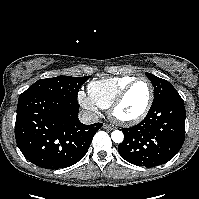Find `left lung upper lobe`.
<instances>
[{
  "instance_id": "5c2ea615",
  "label": "left lung upper lobe",
  "mask_w": 199,
  "mask_h": 199,
  "mask_svg": "<svg viewBox=\"0 0 199 199\" xmlns=\"http://www.w3.org/2000/svg\"><path fill=\"white\" fill-rule=\"evenodd\" d=\"M145 74L154 86L155 95L153 103L167 97L179 95L176 89L167 80L159 78L151 73L145 72Z\"/></svg>"
}]
</instances>
